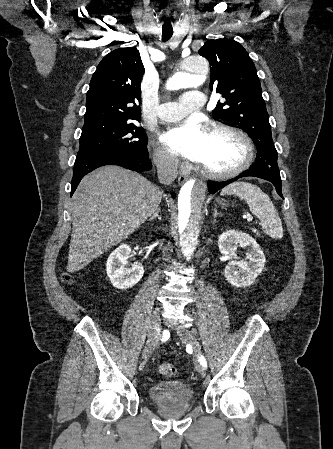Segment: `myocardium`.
Segmentation results:
<instances>
[{"mask_svg":"<svg viewBox=\"0 0 333 449\" xmlns=\"http://www.w3.org/2000/svg\"><path fill=\"white\" fill-rule=\"evenodd\" d=\"M208 132L213 134H226L228 136L234 137L239 140L243 146V159L235 167L223 170L215 171L211 170L205 166L199 165L201 171L210 179L214 180H226L233 178L240 173L244 172L250 167L254 159V144L251 138L242 130L224 125V124H214L208 128Z\"/></svg>","mask_w":333,"mask_h":449,"instance_id":"1","label":"myocardium"}]
</instances>
